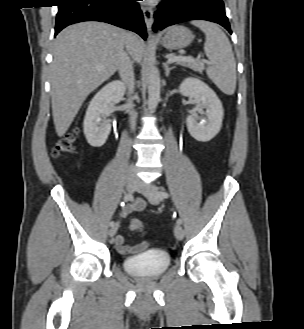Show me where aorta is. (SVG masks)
<instances>
[{"label":"aorta","instance_id":"obj_1","mask_svg":"<svg viewBox=\"0 0 304 329\" xmlns=\"http://www.w3.org/2000/svg\"><path fill=\"white\" fill-rule=\"evenodd\" d=\"M160 76L155 67L150 68L148 76V108L153 111L160 101Z\"/></svg>","mask_w":304,"mask_h":329}]
</instances>
